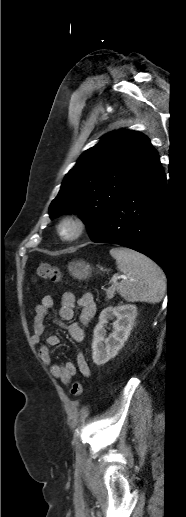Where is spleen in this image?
<instances>
[{
    "label": "spleen",
    "instance_id": "3e777b00",
    "mask_svg": "<svg viewBox=\"0 0 186 517\" xmlns=\"http://www.w3.org/2000/svg\"><path fill=\"white\" fill-rule=\"evenodd\" d=\"M117 268L126 275L118 285L120 295L128 302L158 303L166 290L164 272L151 259L127 248H112Z\"/></svg>",
    "mask_w": 186,
    "mask_h": 517
}]
</instances>
